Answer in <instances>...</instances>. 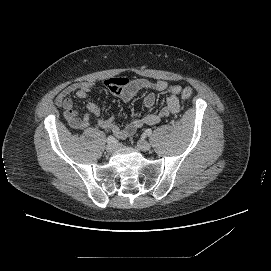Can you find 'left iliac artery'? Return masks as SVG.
Wrapping results in <instances>:
<instances>
[{
	"mask_svg": "<svg viewBox=\"0 0 271 271\" xmlns=\"http://www.w3.org/2000/svg\"><path fill=\"white\" fill-rule=\"evenodd\" d=\"M144 134H145L146 136H151L152 130H151V129H146Z\"/></svg>",
	"mask_w": 271,
	"mask_h": 271,
	"instance_id": "left-iliac-artery-1",
	"label": "left iliac artery"
}]
</instances>
